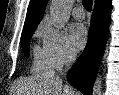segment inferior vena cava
<instances>
[{
    "mask_svg": "<svg viewBox=\"0 0 119 95\" xmlns=\"http://www.w3.org/2000/svg\"><path fill=\"white\" fill-rule=\"evenodd\" d=\"M75 56L73 54L68 53L65 57V66L66 68H69L70 65L72 64Z\"/></svg>",
    "mask_w": 119,
    "mask_h": 95,
    "instance_id": "inferior-vena-cava-1",
    "label": "inferior vena cava"
}]
</instances>
